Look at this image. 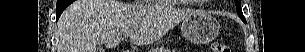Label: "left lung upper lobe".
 Here are the masks:
<instances>
[{
  "label": "left lung upper lobe",
  "instance_id": "1",
  "mask_svg": "<svg viewBox=\"0 0 305 52\" xmlns=\"http://www.w3.org/2000/svg\"><path fill=\"white\" fill-rule=\"evenodd\" d=\"M240 5H241V0H236V9L238 11V15L240 16L241 19H244L243 13H242L241 8H240Z\"/></svg>",
  "mask_w": 305,
  "mask_h": 52
}]
</instances>
